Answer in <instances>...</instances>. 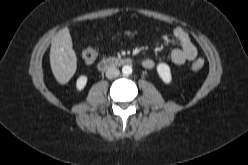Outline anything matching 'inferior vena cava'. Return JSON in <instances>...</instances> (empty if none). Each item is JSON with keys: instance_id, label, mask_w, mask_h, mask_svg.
Returning <instances> with one entry per match:
<instances>
[{"instance_id": "obj_1", "label": "inferior vena cava", "mask_w": 248, "mask_h": 165, "mask_svg": "<svg viewBox=\"0 0 248 165\" xmlns=\"http://www.w3.org/2000/svg\"><path fill=\"white\" fill-rule=\"evenodd\" d=\"M120 74V71L116 68V67H109L107 70H106V77L108 79H113L115 77H118Z\"/></svg>"}]
</instances>
